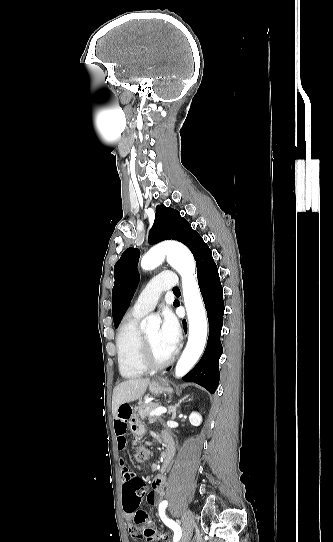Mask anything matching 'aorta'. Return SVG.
<instances>
[{
  "mask_svg": "<svg viewBox=\"0 0 333 542\" xmlns=\"http://www.w3.org/2000/svg\"><path fill=\"white\" fill-rule=\"evenodd\" d=\"M163 256H167L170 266L182 278V292L188 316L189 334L186 348L176 364L175 378H183L192 370L203 354L207 342V318L198 282H196V266L190 250L178 242H169L165 248L150 250L141 260L143 270L158 268L163 262ZM154 324V316H148V322H145L144 328H152Z\"/></svg>",
  "mask_w": 333,
  "mask_h": 542,
  "instance_id": "762f6f07",
  "label": "aorta"
}]
</instances>
